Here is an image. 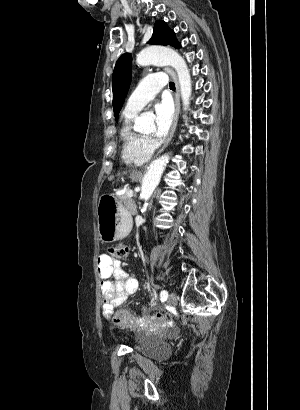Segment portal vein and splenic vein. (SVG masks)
I'll list each match as a JSON object with an SVG mask.
<instances>
[{"mask_svg":"<svg viewBox=\"0 0 300 410\" xmlns=\"http://www.w3.org/2000/svg\"><path fill=\"white\" fill-rule=\"evenodd\" d=\"M133 195H134V192H133L132 190H129V191L127 192V196H128V197H133Z\"/></svg>","mask_w":300,"mask_h":410,"instance_id":"obj_1","label":"portal vein and splenic vein"}]
</instances>
